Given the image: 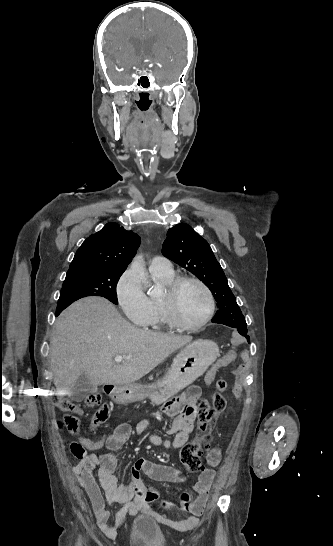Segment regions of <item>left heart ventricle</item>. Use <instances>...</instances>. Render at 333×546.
I'll return each instance as SVG.
<instances>
[{"label": "left heart ventricle", "instance_id": "left-heart-ventricle-1", "mask_svg": "<svg viewBox=\"0 0 333 546\" xmlns=\"http://www.w3.org/2000/svg\"><path fill=\"white\" fill-rule=\"evenodd\" d=\"M178 316L188 324L199 322L208 308V300L204 291L195 283L183 284L174 301Z\"/></svg>", "mask_w": 333, "mask_h": 546}]
</instances>
